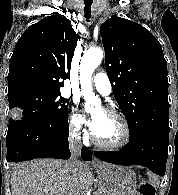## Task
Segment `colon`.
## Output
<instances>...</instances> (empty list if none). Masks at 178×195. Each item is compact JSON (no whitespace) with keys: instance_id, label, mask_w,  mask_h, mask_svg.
Segmentation results:
<instances>
[{"instance_id":"obj_1","label":"colon","mask_w":178,"mask_h":195,"mask_svg":"<svg viewBox=\"0 0 178 195\" xmlns=\"http://www.w3.org/2000/svg\"><path fill=\"white\" fill-rule=\"evenodd\" d=\"M139 195H154V187L148 181H142L139 188Z\"/></svg>"}]
</instances>
